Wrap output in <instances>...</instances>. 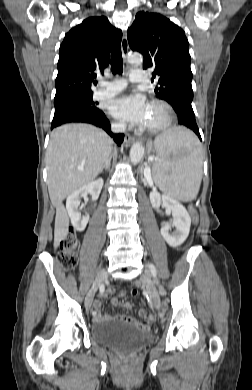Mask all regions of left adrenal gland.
<instances>
[{
    "label": "left adrenal gland",
    "instance_id": "1",
    "mask_svg": "<svg viewBox=\"0 0 252 390\" xmlns=\"http://www.w3.org/2000/svg\"><path fill=\"white\" fill-rule=\"evenodd\" d=\"M141 179L144 182V185L146 186L148 182H147L146 178H143V174H141Z\"/></svg>",
    "mask_w": 252,
    "mask_h": 390
}]
</instances>
